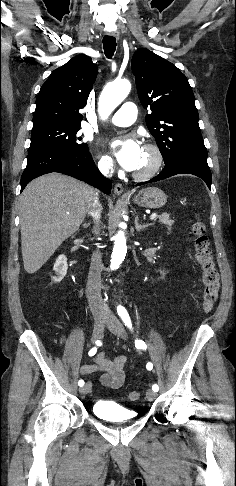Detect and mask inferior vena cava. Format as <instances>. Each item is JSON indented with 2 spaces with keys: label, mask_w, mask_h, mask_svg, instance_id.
<instances>
[{
  "label": "inferior vena cava",
  "mask_w": 236,
  "mask_h": 486,
  "mask_svg": "<svg viewBox=\"0 0 236 486\" xmlns=\"http://www.w3.org/2000/svg\"><path fill=\"white\" fill-rule=\"evenodd\" d=\"M112 163L110 160L102 161L98 164V168L103 175L111 173ZM102 206L99 203L98 194L96 193L93 202L89 208L88 214L94 219L95 226L93 233L99 234L100 218H101ZM103 269L102 256L97 250L92 254L91 264L88 274L86 294L89 302L90 309L93 314L103 312L101 305V271Z\"/></svg>",
  "instance_id": "obj_1"
}]
</instances>
